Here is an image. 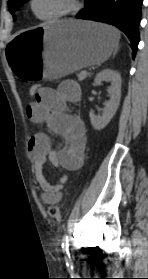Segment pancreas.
Masks as SVG:
<instances>
[{"mask_svg": "<svg viewBox=\"0 0 148 279\" xmlns=\"http://www.w3.org/2000/svg\"><path fill=\"white\" fill-rule=\"evenodd\" d=\"M81 74H82V72H80L79 74H77V76H78V80H79V81H82V80H84V79H85V77H84V78H82V77H81Z\"/></svg>", "mask_w": 148, "mask_h": 279, "instance_id": "1", "label": "pancreas"}]
</instances>
